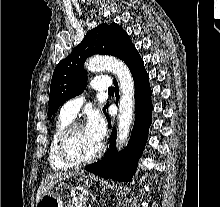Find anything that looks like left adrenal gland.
Listing matches in <instances>:
<instances>
[{"instance_id":"a2214340","label":"left adrenal gland","mask_w":220,"mask_h":207,"mask_svg":"<svg viewBox=\"0 0 220 207\" xmlns=\"http://www.w3.org/2000/svg\"><path fill=\"white\" fill-rule=\"evenodd\" d=\"M96 197L91 194V203L89 204V207H92L93 202L95 201Z\"/></svg>"}]
</instances>
